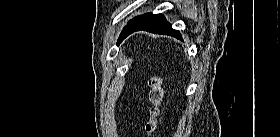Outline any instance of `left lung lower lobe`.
<instances>
[{
  "label": "left lung lower lobe",
  "mask_w": 280,
  "mask_h": 137,
  "mask_svg": "<svg viewBox=\"0 0 280 137\" xmlns=\"http://www.w3.org/2000/svg\"><path fill=\"white\" fill-rule=\"evenodd\" d=\"M144 30L155 34L170 35L177 39H182L178 30H174L172 25L166 21L162 14L148 13L140 21L132 25L124 34L123 39L135 31ZM121 40V41H122ZM120 41V42H121Z\"/></svg>",
  "instance_id": "obj_1"
}]
</instances>
